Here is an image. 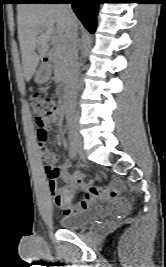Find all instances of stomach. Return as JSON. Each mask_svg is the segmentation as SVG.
I'll list each match as a JSON object with an SVG mask.
<instances>
[{
  "label": "stomach",
  "mask_w": 166,
  "mask_h": 267,
  "mask_svg": "<svg viewBox=\"0 0 166 267\" xmlns=\"http://www.w3.org/2000/svg\"><path fill=\"white\" fill-rule=\"evenodd\" d=\"M51 77V69L48 65H41L35 72L34 81L37 84H44Z\"/></svg>",
  "instance_id": "1"
}]
</instances>
